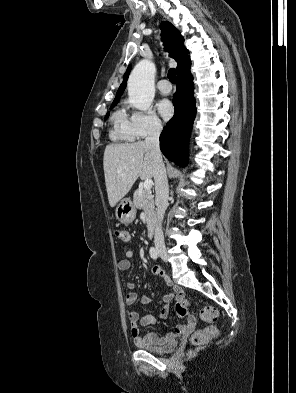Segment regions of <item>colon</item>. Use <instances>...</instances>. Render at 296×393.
Segmentation results:
<instances>
[{"mask_svg": "<svg viewBox=\"0 0 296 393\" xmlns=\"http://www.w3.org/2000/svg\"><path fill=\"white\" fill-rule=\"evenodd\" d=\"M115 236L123 242H128L130 240L129 232L123 228H116ZM175 310L179 316H187L188 302L185 299H178L175 305ZM199 317L205 322H216L218 320L217 309L211 305L204 306L199 313ZM217 333L218 329L216 326L213 325L205 329L199 330L192 335L191 344L194 347H202L206 345L214 336H216Z\"/></svg>", "mask_w": 296, "mask_h": 393, "instance_id": "1", "label": "colon"}]
</instances>
